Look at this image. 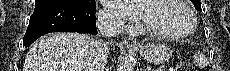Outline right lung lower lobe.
I'll return each instance as SVG.
<instances>
[{"mask_svg":"<svg viewBox=\"0 0 230 71\" xmlns=\"http://www.w3.org/2000/svg\"><path fill=\"white\" fill-rule=\"evenodd\" d=\"M96 7L86 8L71 3H42L35 5L23 38L28 47L40 36L51 32L72 31L97 34Z\"/></svg>","mask_w":230,"mask_h":71,"instance_id":"right-lung-lower-lobe-1","label":"right lung lower lobe"}]
</instances>
